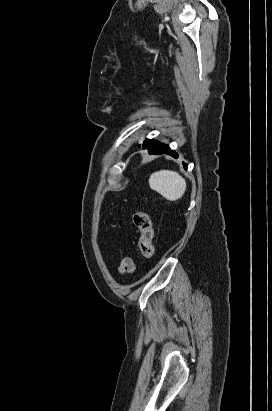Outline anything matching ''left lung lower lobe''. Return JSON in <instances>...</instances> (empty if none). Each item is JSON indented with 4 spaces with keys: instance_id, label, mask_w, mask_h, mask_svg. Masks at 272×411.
<instances>
[{
    "instance_id": "obj_1",
    "label": "left lung lower lobe",
    "mask_w": 272,
    "mask_h": 411,
    "mask_svg": "<svg viewBox=\"0 0 272 411\" xmlns=\"http://www.w3.org/2000/svg\"><path fill=\"white\" fill-rule=\"evenodd\" d=\"M143 149H148L149 154L160 155L165 153L174 158L178 157V155L173 150H171L169 146L154 140H145V142L143 143ZM184 168H187V164H184Z\"/></svg>"
}]
</instances>
